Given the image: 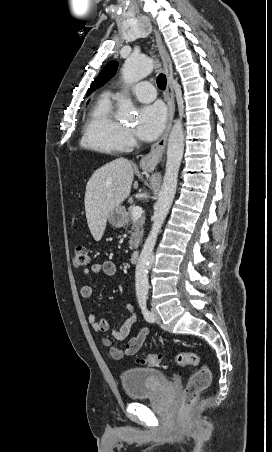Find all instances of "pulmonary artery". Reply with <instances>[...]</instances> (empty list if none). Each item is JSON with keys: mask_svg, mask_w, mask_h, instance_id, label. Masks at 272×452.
I'll list each match as a JSON object with an SVG mask.
<instances>
[{"mask_svg": "<svg viewBox=\"0 0 272 452\" xmlns=\"http://www.w3.org/2000/svg\"><path fill=\"white\" fill-rule=\"evenodd\" d=\"M130 92L134 95V97L140 102H151L156 97V92L154 86L150 82H139L136 85L130 88ZM120 93H115V96H119Z\"/></svg>", "mask_w": 272, "mask_h": 452, "instance_id": "e3ab8cb5", "label": "pulmonary artery"}]
</instances>
